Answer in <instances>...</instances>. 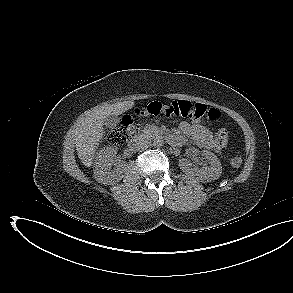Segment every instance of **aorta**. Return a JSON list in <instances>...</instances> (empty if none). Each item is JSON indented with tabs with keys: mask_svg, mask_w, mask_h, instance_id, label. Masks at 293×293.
<instances>
[{
	"mask_svg": "<svg viewBox=\"0 0 293 293\" xmlns=\"http://www.w3.org/2000/svg\"><path fill=\"white\" fill-rule=\"evenodd\" d=\"M153 144L156 147H161L164 144V140H163L162 137H157V138L154 139Z\"/></svg>",
	"mask_w": 293,
	"mask_h": 293,
	"instance_id": "1",
	"label": "aorta"
}]
</instances>
